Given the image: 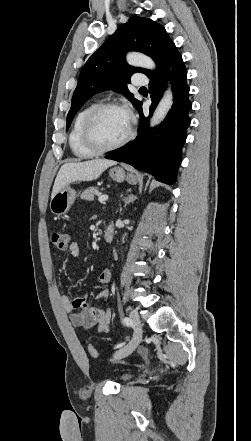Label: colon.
Returning a JSON list of instances; mask_svg holds the SVG:
<instances>
[{"instance_id":"obj_1","label":"colon","mask_w":251,"mask_h":441,"mask_svg":"<svg viewBox=\"0 0 251 441\" xmlns=\"http://www.w3.org/2000/svg\"><path fill=\"white\" fill-rule=\"evenodd\" d=\"M49 240L54 247L60 250L67 249L70 243L69 235L62 231H52L49 235ZM87 349L91 356L93 357L97 356V350L94 345L89 344Z\"/></svg>"}]
</instances>
